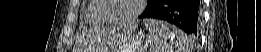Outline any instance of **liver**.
Instances as JSON below:
<instances>
[{
  "mask_svg": "<svg viewBox=\"0 0 261 52\" xmlns=\"http://www.w3.org/2000/svg\"><path fill=\"white\" fill-rule=\"evenodd\" d=\"M132 29H133V27H130V29L127 28V33L132 31ZM99 36L102 39L101 45H103V47H105L108 44V42H110V39L113 40L117 37V34L112 31H109V29H103L99 32Z\"/></svg>",
  "mask_w": 261,
  "mask_h": 52,
  "instance_id": "1",
  "label": "liver"
}]
</instances>
